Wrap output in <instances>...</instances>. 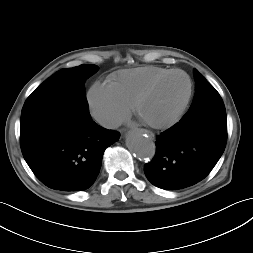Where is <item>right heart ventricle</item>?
I'll return each mask as SVG.
<instances>
[{"label":"right heart ventricle","instance_id":"obj_1","mask_svg":"<svg viewBox=\"0 0 253 253\" xmlns=\"http://www.w3.org/2000/svg\"><path fill=\"white\" fill-rule=\"evenodd\" d=\"M170 70L158 66L126 69L112 75L108 84L128 107H133L140 92L154 79Z\"/></svg>","mask_w":253,"mask_h":253}]
</instances>
